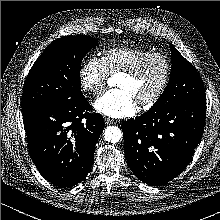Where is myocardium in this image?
Returning <instances> with one entry per match:
<instances>
[{
  "label": "myocardium",
  "instance_id": "f54148a6",
  "mask_svg": "<svg viewBox=\"0 0 220 220\" xmlns=\"http://www.w3.org/2000/svg\"><path fill=\"white\" fill-rule=\"evenodd\" d=\"M151 59H159L162 61L164 65V75L163 79L159 85V87L156 89V91L147 99H144L139 102V105L143 108H150L153 105H155L160 98L163 96L165 90L167 89V86L170 81L171 77V63L168 57L162 53L159 52H150L140 59H138L136 62H134L129 68L121 71L120 75L128 76V77H135L137 76L141 70L144 68V66L151 60Z\"/></svg>",
  "mask_w": 220,
  "mask_h": 220
}]
</instances>
